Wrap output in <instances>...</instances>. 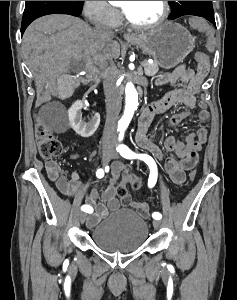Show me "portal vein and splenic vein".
Here are the masks:
<instances>
[{
  "instance_id": "obj_1",
  "label": "portal vein and splenic vein",
  "mask_w": 237,
  "mask_h": 300,
  "mask_svg": "<svg viewBox=\"0 0 237 300\" xmlns=\"http://www.w3.org/2000/svg\"><path fill=\"white\" fill-rule=\"evenodd\" d=\"M146 62H147L146 60H145L144 62H142V65H143L142 67H143L144 69L147 67V66H146V64H147Z\"/></svg>"
}]
</instances>
